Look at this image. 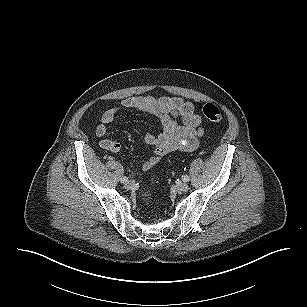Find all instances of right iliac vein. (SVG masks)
Segmentation results:
<instances>
[{"label":"right iliac vein","instance_id":"obj_1","mask_svg":"<svg viewBox=\"0 0 307 307\" xmlns=\"http://www.w3.org/2000/svg\"><path fill=\"white\" fill-rule=\"evenodd\" d=\"M133 186H134V182H132V181H128V182L125 184V188H127V189H131Z\"/></svg>","mask_w":307,"mask_h":307}]
</instances>
